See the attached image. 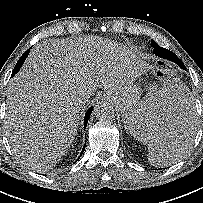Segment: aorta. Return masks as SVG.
I'll return each instance as SVG.
<instances>
[{
	"mask_svg": "<svg viewBox=\"0 0 203 203\" xmlns=\"http://www.w3.org/2000/svg\"><path fill=\"white\" fill-rule=\"evenodd\" d=\"M95 116L101 121H108L114 117V108L108 102H101L94 108Z\"/></svg>",
	"mask_w": 203,
	"mask_h": 203,
	"instance_id": "1",
	"label": "aorta"
}]
</instances>
